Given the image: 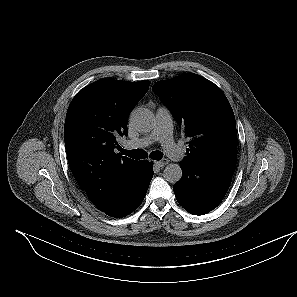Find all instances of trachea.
Returning <instances> with one entry per match:
<instances>
[{
    "label": "trachea",
    "instance_id": "3493384b",
    "mask_svg": "<svg viewBox=\"0 0 297 297\" xmlns=\"http://www.w3.org/2000/svg\"><path fill=\"white\" fill-rule=\"evenodd\" d=\"M120 151L122 154L132 157L134 159H143L148 157L147 152L143 149H135L130 151L121 148ZM162 157L163 153L161 151L156 150L150 153V158L153 160H161Z\"/></svg>",
    "mask_w": 297,
    "mask_h": 297
}]
</instances>
